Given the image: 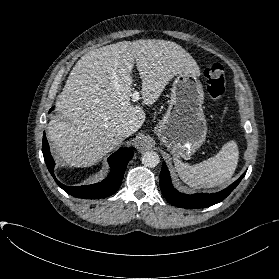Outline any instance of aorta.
Here are the masks:
<instances>
[{
    "instance_id": "1",
    "label": "aorta",
    "mask_w": 279,
    "mask_h": 279,
    "mask_svg": "<svg viewBox=\"0 0 279 279\" xmlns=\"http://www.w3.org/2000/svg\"><path fill=\"white\" fill-rule=\"evenodd\" d=\"M141 161H142L143 165H145L146 167L153 168L159 164L160 157L154 151H147V152L143 153V155L141 157Z\"/></svg>"
}]
</instances>
